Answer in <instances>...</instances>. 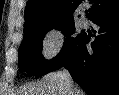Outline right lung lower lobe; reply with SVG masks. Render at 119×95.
<instances>
[{
    "mask_svg": "<svg viewBox=\"0 0 119 95\" xmlns=\"http://www.w3.org/2000/svg\"><path fill=\"white\" fill-rule=\"evenodd\" d=\"M92 22V49L82 34L51 71L64 66L88 95H119V9Z\"/></svg>",
    "mask_w": 119,
    "mask_h": 95,
    "instance_id": "right-lung-lower-lobe-1",
    "label": "right lung lower lobe"
}]
</instances>
